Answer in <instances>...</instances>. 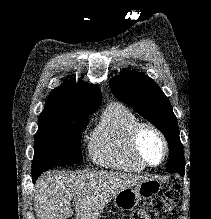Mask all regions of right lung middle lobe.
<instances>
[{
	"mask_svg": "<svg viewBox=\"0 0 211 219\" xmlns=\"http://www.w3.org/2000/svg\"><path fill=\"white\" fill-rule=\"evenodd\" d=\"M89 115L53 116L41 113L34 140L33 182L53 166L82 162L81 135Z\"/></svg>",
	"mask_w": 211,
	"mask_h": 219,
	"instance_id": "obj_1",
	"label": "right lung middle lobe"
}]
</instances>
